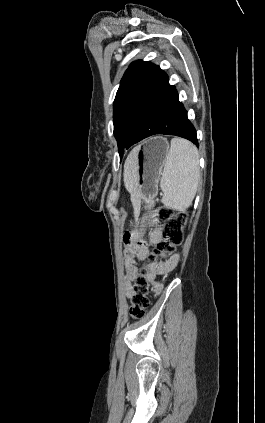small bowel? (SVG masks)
<instances>
[{"instance_id": "1", "label": "small bowel", "mask_w": 265, "mask_h": 423, "mask_svg": "<svg viewBox=\"0 0 265 423\" xmlns=\"http://www.w3.org/2000/svg\"><path fill=\"white\" fill-rule=\"evenodd\" d=\"M161 239V232L159 229H154L149 234L151 243H157ZM149 253V246L142 241L130 249L125 250V292L126 295L131 293V283L139 276V269L137 260H144ZM180 260L179 254H174L167 259L150 263L147 267V278L152 283L156 292L161 289V284L155 281L157 276H166L172 272L178 265Z\"/></svg>"}]
</instances>
